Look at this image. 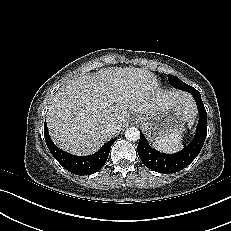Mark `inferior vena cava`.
I'll return each mask as SVG.
<instances>
[{
	"mask_svg": "<svg viewBox=\"0 0 231 231\" xmlns=\"http://www.w3.org/2000/svg\"><path fill=\"white\" fill-rule=\"evenodd\" d=\"M108 130L114 134H116L118 131L121 130V126L119 124H117L116 122H111L108 125Z\"/></svg>",
	"mask_w": 231,
	"mask_h": 231,
	"instance_id": "1",
	"label": "inferior vena cava"
}]
</instances>
